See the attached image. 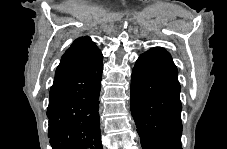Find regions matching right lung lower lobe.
<instances>
[{
	"label": "right lung lower lobe",
	"instance_id": "obj_1",
	"mask_svg": "<svg viewBox=\"0 0 227 149\" xmlns=\"http://www.w3.org/2000/svg\"><path fill=\"white\" fill-rule=\"evenodd\" d=\"M102 58L55 75L47 109L53 149H102L98 113Z\"/></svg>",
	"mask_w": 227,
	"mask_h": 149
}]
</instances>
